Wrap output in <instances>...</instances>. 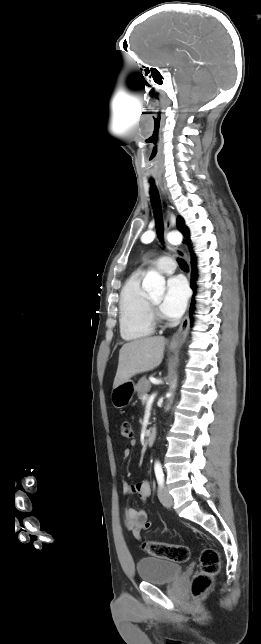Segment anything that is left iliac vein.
Returning <instances> with one entry per match:
<instances>
[{"mask_svg": "<svg viewBox=\"0 0 261 644\" xmlns=\"http://www.w3.org/2000/svg\"><path fill=\"white\" fill-rule=\"evenodd\" d=\"M158 497L163 506L170 508L173 505V498L165 487L158 490Z\"/></svg>", "mask_w": 261, "mask_h": 644, "instance_id": "4c4485c4", "label": "left iliac vein"}]
</instances>
